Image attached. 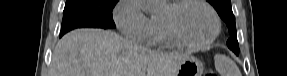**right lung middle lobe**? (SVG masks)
<instances>
[{"label":"right lung middle lobe","instance_id":"obj_1","mask_svg":"<svg viewBox=\"0 0 287 76\" xmlns=\"http://www.w3.org/2000/svg\"><path fill=\"white\" fill-rule=\"evenodd\" d=\"M118 0H67L60 37L76 28L113 29L112 10Z\"/></svg>","mask_w":287,"mask_h":76}]
</instances>
